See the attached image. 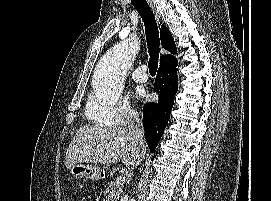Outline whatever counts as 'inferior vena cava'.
Wrapping results in <instances>:
<instances>
[{
    "instance_id": "inferior-vena-cava-1",
    "label": "inferior vena cava",
    "mask_w": 271,
    "mask_h": 201,
    "mask_svg": "<svg viewBox=\"0 0 271 201\" xmlns=\"http://www.w3.org/2000/svg\"><path fill=\"white\" fill-rule=\"evenodd\" d=\"M128 132L134 142L142 149V154H145L144 145V128L137 112H132L128 120Z\"/></svg>"
}]
</instances>
